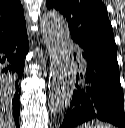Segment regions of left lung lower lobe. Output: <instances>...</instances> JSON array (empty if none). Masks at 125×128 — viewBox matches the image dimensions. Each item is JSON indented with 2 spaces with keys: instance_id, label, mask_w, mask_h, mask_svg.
<instances>
[{
  "instance_id": "obj_1",
  "label": "left lung lower lobe",
  "mask_w": 125,
  "mask_h": 128,
  "mask_svg": "<svg viewBox=\"0 0 125 128\" xmlns=\"http://www.w3.org/2000/svg\"><path fill=\"white\" fill-rule=\"evenodd\" d=\"M81 55L84 68L77 74L70 108L60 128H74L94 118L125 128L117 55L94 54L83 49Z\"/></svg>"
}]
</instances>
